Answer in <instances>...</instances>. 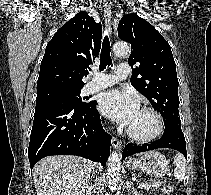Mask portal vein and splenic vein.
Here are the masks:
<instances>
[{
  "label": "portal vein and splenic vein",
  "mask_w": 211,
  "mask_h": 195,
  "mask_svg": "<svg viewBox=\"0 0 211 195\" xmlns=\"http://www.w3.org/2000/svg\"><path fill=\"white\" fill-rule=\"evenodd\" d=\"M147 186H148L147 184L141 183V184L138 185V188H145Z\"/></svg>",
  "instance_id": "18ae733b"
}]
</instances>
